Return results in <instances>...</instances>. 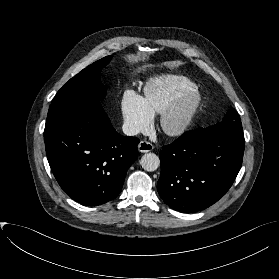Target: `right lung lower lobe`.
I'll return each instance as SVG.
<instances>
[{
	"label": "right lung lower lobe",
	"mask_w": 279,
	"mask_h": 279,
	"mask_svg": "<svg viewBox=\"0 0 279 279\" xmlns=\"http://www.w3.org/2000/svg\"><path fill=\"white\" fill-rule=\"evenodd\" d=\"M44 141L58 184L70 198L87 206L115 199L138 158L139 139L120 135L95 101L45 129Z\"/></svg>",
	"instance_id": "1"
}]
</instances>
